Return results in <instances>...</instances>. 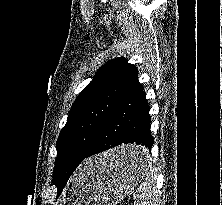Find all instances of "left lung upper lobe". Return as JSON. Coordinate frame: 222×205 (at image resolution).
<instances>
[{
  "label": "left lung upper lobe",
  "mask_w": 222,
  "mask_h": 205,
  "mask_svg": "<svg viewBox=\"0 0 222 205\" xmlns=\"http://www.w3.org/2000/svg\"><path fill=\"white\" fill-rule=\"evenodd\" d=\"M136 73L137 68L122 57L109 60L77 96L56 144L53 184L57 188L67 175L62 166L64 160L69 156L81 157L88 151L107 115Z\"/></svg>",
  "instance_id": "1"
}]
</instances>
